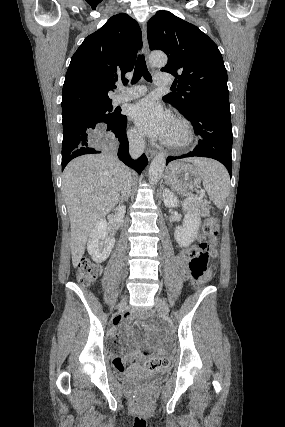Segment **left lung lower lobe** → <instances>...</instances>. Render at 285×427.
<instances>
[{"instance_id":"1","label":"left lung lower lobe","mask_w":285,"mask_h":427,"mask_svg":"<svg viewBox=\"0 0 285 427\" xmlns=\"http://www.w3.org/2000/svg\"><path fill=\"white\" fill-rule=\"evenodd\" d=\"M193 125L199 142L188 154L169 156L167 163L185 157H208L221 162L231 175L232 126L230 109L213 105L198 106L184 115Z\"/></svg>"}]
</instances>
